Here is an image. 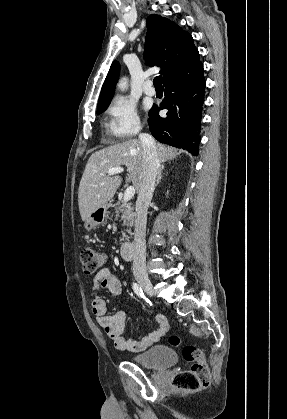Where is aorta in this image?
<instances>
[{
    "instance_id": "1",
    "label": "aorta",
    "mask_w": 287,
    "mask_h": 419,
    "mask_svg": "<svg viewBox=\"0 0 287 419\" xmlns=\"http://www.w3.org/2000/svg\"><path fill=\"white\" fill-rule=\"evenodd\" d=\"M117 87L121 90V91H125L128 87V80L127 78H122L119 82Z\"/></svg>"
}]
</instances>
